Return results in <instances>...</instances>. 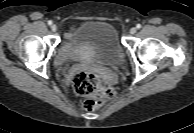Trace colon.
Returning <instances> with one entry per match:
<instances>
[{
    "instance_id": "5ec220e1",
    "label": "colon",
    "mask_w": 194,
    "mask_h": 133,
    "mask_svg": "<svg viewBox=\"0 0 194 133\" xmlns=\"http://www.w3.org/2000/svg\"><path fill=\"white\" fill-rule=\"evenodd\" d=\"M73 90L77 95L87 99L84 107L88 110L98 109L115 95L112 87L103 85L96 74L88 72L75 74Z\"/></svg>"
}]
</instances>
